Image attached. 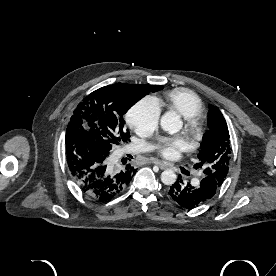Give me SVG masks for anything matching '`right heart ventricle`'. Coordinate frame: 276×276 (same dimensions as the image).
I'll return each instance as SVG.
<instances>
[{
  "instance_id": "1",
  "label": "right heart ventricle",
  "mask_w": 276,
  "mask_h": 276,
  "mask_svg": "<svg viewBox=\"0 0 276 276\" xmlns=\"http://www.w3.org/2000/svg\"><path fill=\"white\" fill-rule=\"evenodd\" d=\"M164 99L171 109L184 118L201 115L203 112L201 99L189 90L176 89L169 91L165 94Z\"/></svg>"
}]
</instances>
